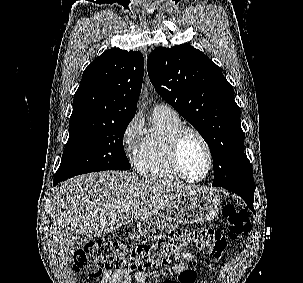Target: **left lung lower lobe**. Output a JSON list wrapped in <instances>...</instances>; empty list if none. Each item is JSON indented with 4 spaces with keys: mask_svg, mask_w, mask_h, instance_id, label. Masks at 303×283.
I'll list each match as a JSON object with an SVG mask.
<instances>
[{
    "mask_svg": "<svg viewBox=\"0 0 303 283\" xmlns=\"http://www.w3.org/2000/svg\"><path fill=\"white\" fill-rule=\"evenodd\" d=\"M222 188L228 189L239 195L248 205V207L254 212L253 200H254V187L249 186H220Z\"/></svg>",
    "mask_w": 303,
    "mask_h": 283,
    "instance_id": "0a47b994",
    "label": "left lung lower lobe"
}]
</instances>
